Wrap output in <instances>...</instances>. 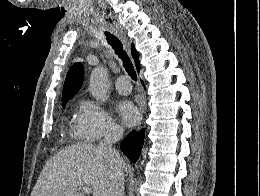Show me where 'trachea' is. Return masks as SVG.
<instances>
[{
	"mask_svg": "<svg viewBox=\"0 0 260 196\" xmlns=\"http://www.w3.org/2000/svg\"><path fill=\"white\" fill-rule=\"evenodd\" d=\"M107 35V41L108 44L111 45L113 50L115 51V54L122 60L123 66L125 70L127 71L128 75L132 80L137 81V75L134 70L133 64L127 55L126 51L123 49V45L121 41L115 36L111 34H106Z\"/></svg>",
	"mask_w": 260,
	"mask_h": 196,
	"instance_id": "1",
	"label": "trachea"
}]
</instances>
